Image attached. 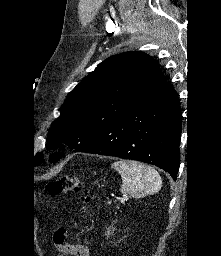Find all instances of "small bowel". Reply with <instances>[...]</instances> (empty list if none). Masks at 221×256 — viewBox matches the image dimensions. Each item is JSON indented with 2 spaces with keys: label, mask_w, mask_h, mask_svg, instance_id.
<instances>
[{
  "label": "small bowel",
  "mask_w": 221,
  "mask_h": 256,
  "mask_svg": "<svg viewBox=\"0 0 221 256\" xmlns=\"http://www.w3.org/2000/svg\"><path fill=\"white\" fill-rule=\"evenodd\" d=\"M65 248L74 256H90V249L85 243L66 245Z\"/></svg>",
  "instance_id": "obj_1"
}]
</instances>
